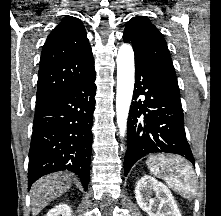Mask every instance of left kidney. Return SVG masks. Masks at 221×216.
<instances>
[{
	"label": "left kidney",
	"mask_w": 221,
	"mask_h": 216,
	"mask_svg": "<svg viewBox=\"0 0 221 216\" xmlns=\"http://www.w3.org/2000/svg\"><path fill=\"white\" fill-rule=\"evenodd\" d=\"M153 192L155 198H151ZM135 197L139 207L149 216H182L168 187L149 175L137 182Z\"/></svg>",
	"instance_id": "obj_1"
}]
</instances>
